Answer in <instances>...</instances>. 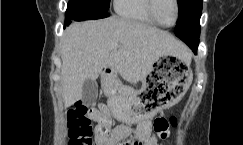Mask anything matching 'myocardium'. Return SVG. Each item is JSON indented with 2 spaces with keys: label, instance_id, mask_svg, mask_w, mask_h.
<instances>
[{
  "label": "myocardium",
  "instance_id": "myocardium-1",
  "mask_svg": "<svg viewBox=\"0 0 243 145\" xmlns=\"http://www.w3.org/2000/svg\"><path fill=\"white\" fill-rule=\"evenodd\" d=\"M147 1H148V12H149L151 18L156 22V24H158L162 27L170 28V27H173L177 23L178 18H179V2H178V0H173L174 5H175V18H174L173 23L170 24V25L163 24L162 22L159 21L157 15H156V12H155L156 0H147Z\"/></svg>",
  "mask_w": 243,
  "mask_h": 145
}]
</instances>
